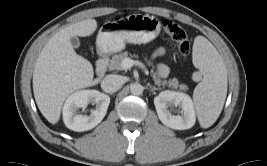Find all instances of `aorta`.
Returning <instances> with one entry per match:
<instances>
[{"label":"aorta","mask_w":267,"mask_h":166,"mask_svg":"<svg viewBox=\"0 0 267 166\" xmlns=\"http://www.w3.org/2000/svg\"><path fill=\"white\" fill-rule=\"evenodd\" d=\"M143 86L139 83H133L131 86H130V91L133 95H141L143 93Z\"/></svg>","instance_id":"aorta-1"}]
</instances>
